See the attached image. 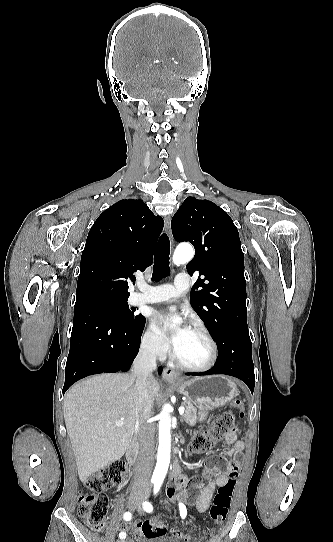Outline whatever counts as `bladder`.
<instances>
[{
    "mask_svg": "<svg viewBox=\"0 0 333 542\" xmlns=\"http://www.w3.org/2000/svg\"><path fill=\"white\" fill-rule=\"evenodd\" d=\"M146 542H180L171 535H156L147 538Z\"/></svg>",
    "mask_w": 333,
    "mask_h": 542,
    "instance_id": "31cf9c89",
    "label": "bladder"
}]
</instances>
